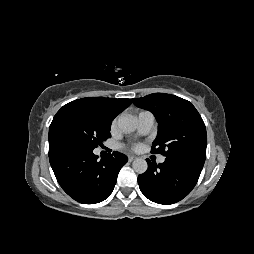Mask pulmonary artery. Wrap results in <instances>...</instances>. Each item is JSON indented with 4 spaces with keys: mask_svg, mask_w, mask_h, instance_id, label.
Wrapping results in <instances>:
<instances>
[{
    "mask_svg": "<svg viewBox=\"0 0 254 254\" xmlns=\"http://www.w3.org/2000/svg\"><path fill=\"white\" fill-rule=\"evenodd\" d=\"M154 125V116L152 113L144 111L139 113L137 116V126L139 134L145 135L150 132ZM165 161V156H160L158 158L159 163H163Z\"/></svg>",
    "mask_w": 254,
    "mask_h": 254,
    "instance_id": "pulmonary-artery-1",
    "label": "pulmonary artery"
}]
</instances>
